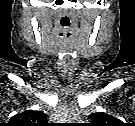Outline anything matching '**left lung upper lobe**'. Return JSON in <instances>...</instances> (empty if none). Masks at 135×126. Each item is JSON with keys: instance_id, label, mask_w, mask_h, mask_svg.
<instances>
[{"instance_id": "5c2ea615", "label": "left lung upper lobe", "mask_w": 135, "mask_h": 126, "mask_svg": "<svg viewBox=\"0 0 135 126\" xmlns=\"http://www.w3.org/2000/svg\"><path fill=\"white\" fill-rule=\"evenodd\" d=\"M89 117L96 124H105L110 121V116L105 113H92Z\"/></svg>"}]
</instances>
